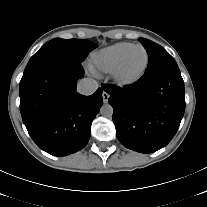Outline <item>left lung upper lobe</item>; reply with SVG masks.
<instances>
[{
    "instance_id": "left-lung-upper-lobe-1",
    "label": "left lung upper lobe",
    "mask_w": 207,
    "mask_h": 207,
    "mask_svg": "<svg viewBox=\"0 0 207 207\" xmlns=\"http://www.w3.org/2000/svg\"><path fill=\"white\" fill-rule=\"evenodd\" d=\"M148 54V66L145 72L153 71L163 65L175 62L174 58L160 45L155 42L139 38Z\"/></svg>"
}]
</instances>
